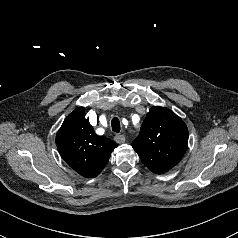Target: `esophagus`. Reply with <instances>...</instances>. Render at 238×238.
Here are the masks:
<instances>
[{
  "label": "esophagus",
  "instance_id": "34e87169",
  "mask_svg": "<svg viewBox=\"0 0 238 238\" xmlns=\"http://www.w3.org/2000/svg\"><path fill=\"white\" fill-rule=\"evenodd\" d=\"M114 140L116 141V143H124L125 142V136L122 135V134H117L115 137H114Z\"/></svg>",
  "mask_w": 238,
  "mask_h": 238
}]
</instances>
